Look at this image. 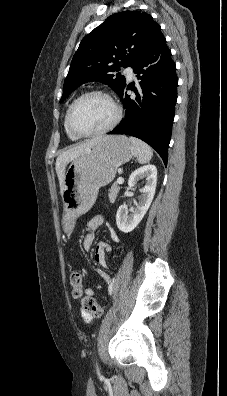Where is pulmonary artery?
I'll return each mask as SVG.
<instances>
[{
  "mask_svg": "<svg viewBox=\"0 0 227 396\" xmlns=\"http://www.w3.org/2000/svg\"><path fill=\"white\" fill-rule=\"evenodd\" d=\"M126 73H127L129 78H133L135 76V72H134L132 67H127L126 68Z\"/></svg>",
  "mask_w": 227,
  "mask_h": 396,
  "instance_id": "1",
  "label": "pulmonary artery"
}]
</instances>
